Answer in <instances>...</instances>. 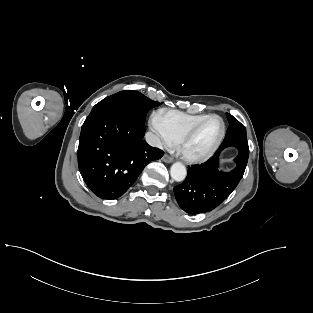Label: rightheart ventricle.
<instances>
[{
	"label": "right heart ventricle",
	"instance_id": "1",
	"mask_svg": "<svg viewBox=\"0 0 313 313\" xmlns=\"http://www.w3.org/2000/svg\"><path fill=\"white\" fill-rule=\"evenodd\" d=\"M156 116L159 126L174 144L177 143L189 127L204 118L206 114H188L176 110H161Z\"/></svg>",
	"mask_w": 313,
	"mask_h": 313
}]
</instances>
